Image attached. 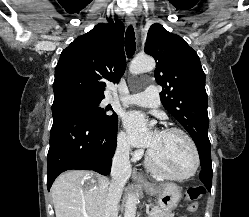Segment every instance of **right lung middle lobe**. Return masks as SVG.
<instances>
[{"instance_id":"dd1d6c3e","label":"right lung middle lobe","mask_w":249,"mask_h":217,"mask_svg":"<svg viewBox=\"0 0 249 217\" xmlns=\"http://www.w3.org/2000/svg\"><path fill=\"white\" fill-rule=\"evenodd\" d=\"M102 98H95L77 91H66L54 95L53 104H66L83 114L93 124L103 128H113L118 125V117L115 112L108 113L112 110L111 106L101 108Z\"/></svg>"}]
</instances>
